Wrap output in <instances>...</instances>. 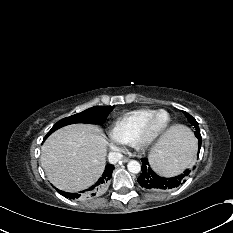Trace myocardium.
<instances>
[{
	"instance_id": "1",
	"label": "myocardium",
	"mask_w": 233,
	"mask_h": 233,
	"mask_svg": "<svg viewBox=\"0 0 233 233\" xmlns=\"http://www.w3.org/2000/svg\"><path fill=\"white\" fill-rule=\"evenodd\" d=\"M160 114H164L166 116V119L160 127L154 129V121L156 117ZM170 121V114L166 110H155L141 125L137 135L133 140V146L136 149L142 151L151 148L165 134L170 124Z\"/></svg>"
}]
</instances>
